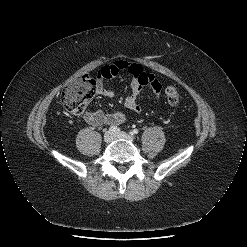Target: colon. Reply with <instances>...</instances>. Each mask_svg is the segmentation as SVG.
Listing matches in <instances>:
<instances>
[{
	"instance_id": "colon-1",
	"label": "colon",
	"mask_w": 247,
	"mask_h": 247,
	"mask_svg": "<svg viewBox=\"0 0 247 247\" xmlns=\"http://www.w3.org/2000/svg\"><path fill=\"white\" fill-rule=\"evenodd\" d=\"M95 93L96 82L88 76H83L70 82L65 87L58 96V102L69 113L80 115L85 111ZM165 94L170 105L176 106L179 104L181 96L178 86H167Z\"/></svg>"
}]
</instances>
